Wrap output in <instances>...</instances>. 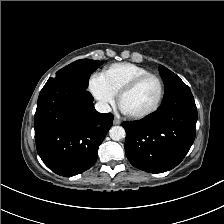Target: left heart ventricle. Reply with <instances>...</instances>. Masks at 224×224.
I'll use <instances>...</instances> for the list:
<instances>
[{
	"label": "left heart ventricle",
	"mask_w": 224,
	"mask_h": 224,
	"mask_svg": "<svg viewBox=\"0 0 224 224\" xmlns=\"http://www.w3.org/2000/svg\"><path fill=\"white\" fill-rule=\"evenodd\" d=\"M159 94L158 82L149 78L123 96L121 107L128 113H140L153 106Z\"/></svg>",
	"instance_id": "b2bd125f"
}]
</instances>
